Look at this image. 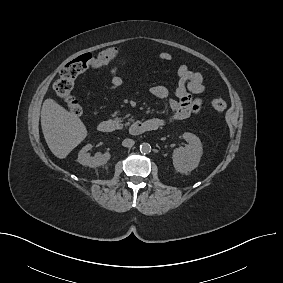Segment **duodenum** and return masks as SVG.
I'll use <instances>...</instances> for the list:
<instances>
[{
    "label": "duodenum",
    "instance_id": "1",
    "mask_svg": "<svg viewBox=\"0 0 283 283\" xmlns=\"http://www.w3.org/2000/svg\"><path fill=\"white\" fill-rule=\"evenodd\" d=\"M160 122L157 119H149L144 121L134 122L129 131L132 135H141L147 132L155 131L159 128ZM116 129L115 122L110 119H105L99 122L98 130L102 133H112Z\"/></svg>",
    "mask_w": 283,
    "mask_h": 283
}]
</instances>
